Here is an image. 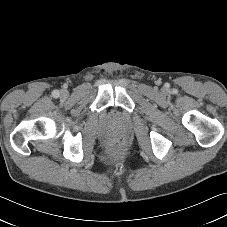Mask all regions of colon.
Segmentation results:
<instances>
[{"instance_id":"5ec220e1","label":"colon","mask_w":227,"mask_h":227,"mask_svg":"<svg viewBox=\"0 0 227 227\" xmlns=\"http://www.w3.org/2000/svg\"><path fill=\"white\" fill-rule=\"evenodd\" d=\"M110 154L114 158H120L125 151V142L122 139H114L109 145Z\"/></svg>"}]
</instances>
